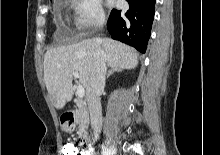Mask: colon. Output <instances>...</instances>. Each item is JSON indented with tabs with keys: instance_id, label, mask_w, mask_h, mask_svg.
<instances>
[{
	"instance_id": "5ec220e1",
	"label": "colon",
	"mask_w": 220,
	"mask_h": 155,
	"mask_svg": "<svg viewBox=\"0 0 220 155\" xmlns=\"http://www.w3.org/2000/svg\"><path fill=\"white\" fill-rule=\"evenodd\" d=\"M85 146L86 145H77V143H65L63 146V155H85Z\"/></svg>"
}]
</instances>
